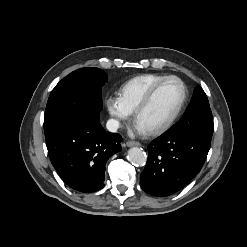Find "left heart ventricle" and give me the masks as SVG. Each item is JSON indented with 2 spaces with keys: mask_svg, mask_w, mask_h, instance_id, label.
Wrapping results in <instances>:
<instances>
[{
  "mask_svg": "<svg viewBox=\"0 0 247 247\" xmlns=\"http://www.w3.org/2000/svg\"><path fill=\"white\" fill-rule=\"evenodd\" d=\"M183 95L176 80L166 82L155 94L150 105L140 114L137 123L150 131L165 123L177 109Z\"/></svg>",
  "mask_w": 247,
  "mask_h": 247,
  "instance_id": "obj_1",
  "label": "left heart ventricle"
}]
</instances>
